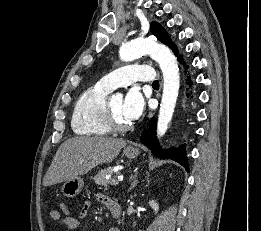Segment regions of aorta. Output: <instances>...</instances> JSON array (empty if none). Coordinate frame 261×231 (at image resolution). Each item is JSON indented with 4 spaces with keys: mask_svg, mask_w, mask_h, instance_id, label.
I'll use <instances>...</instances> for the list:
<instances>
[{
    "mask_svg": "<svg viewBox=\"0 0 261 231\" xmlns=\"http://www.w3.org/2000/svg\"><path fill=\"white\" fill-rule=\"evenodd\" d=\"M146 54L158 62L163 73V94L157 122V134L161 137L166 133L174 113L179 92V68L171 50L162 44L137 39L123 44L119 50L122 61H132ZM116 97L122 98V95L118 93Z\"/></svg>",
    "mask_w": 261,
    "mask_h": 231,
    "instance_id": "aorta-1",
    "label": "aorta"
}]
</instances>
